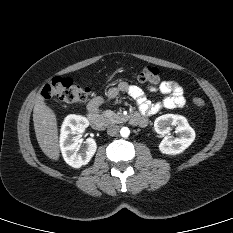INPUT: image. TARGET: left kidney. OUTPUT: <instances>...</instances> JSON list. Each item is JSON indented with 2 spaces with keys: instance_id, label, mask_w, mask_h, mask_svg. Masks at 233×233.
Wrapping results in <instances>:
<instances>
[{
  "instance_id": "left-kidney-1",
  "label": "left kidney",
  "mask_w": 233,
  "mask_h": 233,
  "mask_svg": "<svg viewBox=\"0 0 233 233\" xmlns=\"http://www.w3.org/2000/svg\"><path fill=\"white\" fill-rule=\"evenodd\" d=\"M170 126H175L178 137L170 135ZM154 129L158 134H167L159 144V150L163 154L176 155L187 149L195 139V131L189 125L187 119L181 115L165 114L154 122Z\"/></svg>"
}]
</instances>
